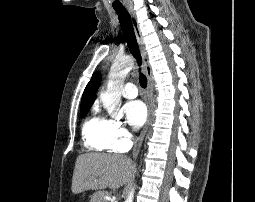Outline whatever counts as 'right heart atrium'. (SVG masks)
<instances>
[{"instance_id": "right-heart-atrium-1", "label": "right heart atrium", "mask_w": 255, "mask_h": 202, "mask_svg": "<svg viewBox=\"0 0 255 202\" xmlns=\"http://www.w3.org/2000/svg\"><path fill=\"white\" fill-rule=\"evenodd\" d=\"M108 122V141L110 149L116 151L125 149L131 140L130 131L121 120L110 119Z\"/></svg>"}]
</instances>
